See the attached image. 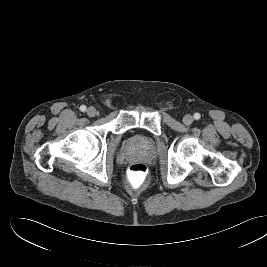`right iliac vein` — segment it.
<instances>
[{"label":"right iliac vein","mask_w":267,"mask_h":267,"mask_svg":"<svg viewBox=\"0 0 267 267\" xmlns=\"http://www.w3.org/2000/svg\"><path fill=\"white\" fill-rule=\"evenodd\" d=\"M86 113L89 117H94L96 115L97 111L94 107H89L87 109Z\"/></svg>","instance_id":"1"}]
</instances>
